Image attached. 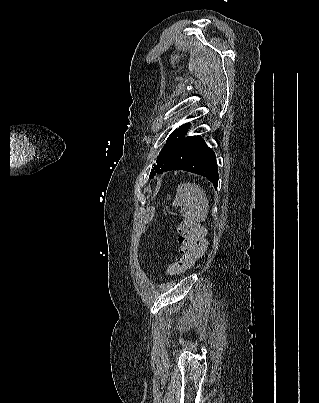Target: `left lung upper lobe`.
<instances>
[{
  "instance_id": "obj_1",
  "label": "left lung upper lobe",
  "mask_w": 319,
  "mask_h": 403,
  "mask_svg": "<svg viewBox=\"0 0 319 403\" xmlns=\"http://www.w3.org/2000/svg\"><path fill=\"white\" fill-rule=\"evenodd\" d=\"M190 127V123L181 125L179 129L173 131V133L167 139V143L164 145L163 149L159 153L156 160V165L150 173V178H153L156 173L161 174L164 172L165 168L169 164L171 158L177 151L178 147L185 139V134Z\"/></svg>"
}]
</instances>
